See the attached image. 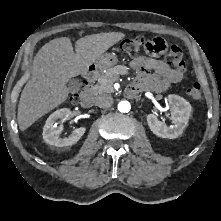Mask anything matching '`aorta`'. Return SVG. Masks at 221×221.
Masks as SVG:
<instances>
[{
	"label": "aorta",
	"mask_w": 221,
	"mask_h": 221,
	"mask_svg": "<svg viewBox=\"0 0 221 221\" xmlns=\"http://www.w3.org/2000/svg\"><path fill=\"white\" fill-rule=\"evenodd\" d=\"M131 109V105L128 101L124 100V101H120L118 103V110L122 113H126L129 112Z\"/></svg>",
	"instance_id": "1"
}]
</instances>
